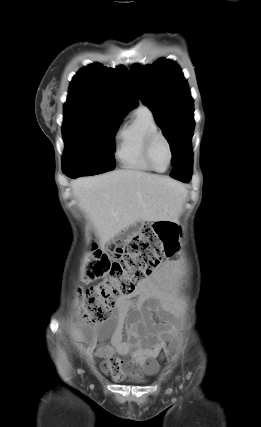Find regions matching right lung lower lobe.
<instances>
[{
    "mask_svg": "<svg viewBox=\"0 0 261 427\" xmlns=\"http://www.w3.org/2000/svg\"><path fill=\"white\" fill-rule=\"evenodd\" d=\"M67 176H69V177H71V178H73V179H75V178L79 177V176H77V175H67Z\"/></svg>",
    "mask_w": 261,
    "mask_h": 427,
    "instance_id": "98d812e1",
    "label": "right lung lower lobe"
}]
</instances>
